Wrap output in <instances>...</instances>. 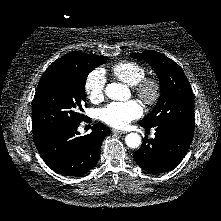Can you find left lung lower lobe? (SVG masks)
Here are the masks:
<instances>
[{"mask_svg": "<svg viewBox=\"0 0 221 221\" xmlns=\"http://www.w3.org/2000/svg\"><path fill=\"white\" fill-rule=\"evenodd\" d=\"M155 138H144L142 146L133 153L135 162L145 171L158 174L174 169L185 157L193 138V131L174 125H157Z\"/></svg>", "mask_w": 221, "mask_h": 221, "instance_id": "1", "label": "left lung lower lobe"}]
</instances>
